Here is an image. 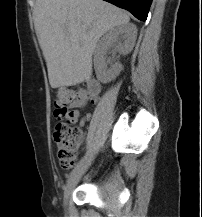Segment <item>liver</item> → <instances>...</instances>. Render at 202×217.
I'll return each instance as SVG.
<instances>
[{
    "instance_id": "liver-1",
    "label": "liver",
    "mask_w": 202,
    "mask_h": 217,
    "mask_svg": "<svg viewBox=\"0 0 202 217\" xmlns=\"http://www.w3.org/2000/svg\"><path fill=\"white\" fill-rule=\"evenodd\" d=\"M33 14L52 88L89 80L100 37L130 20L103 0H36Z\"/></svg>"
}]
</instances>
